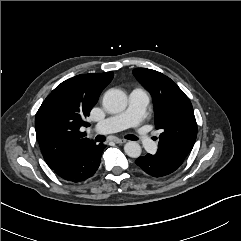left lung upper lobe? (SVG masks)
<instances>
[{
    "instance_id": "left-lung-upper-lobe-1",
    "label": "left lung upper lobe",
    "mask_w": 241,
    "mask_h": 241,
    "mask_svg": "<svg viewBox=\"0 0 241 241\" xmlns=\"http://www.w3.org/2000/svg\"><path fill=\"white\" fill-rule=\"evenodd\" d=\"M136 78L151 93L155 127L161 129L157 159L180 167L192 150L197 123L189 98L164 74L145 68L134 70Z\"/></svg>"
}]
</instances>
